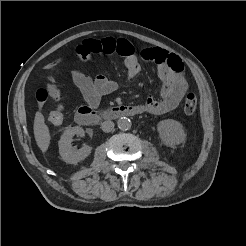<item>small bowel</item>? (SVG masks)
I'll use <instances>...</instances> for the list:
<instances>
[{
  "label": "small bowel",
  "mask_w": 246,
  "mask_h": 246,
  "mask_svg": "<svg viewBox=\"0 0 246 246\" xmlns=\"http://www.w3.org/2000/svg\"><path fill=\"white\" fill-rule=\"evenodd\" d=\"M80 49L88 51L90 55L116 54L124 57L129 79L136 77L141 70L133 45L125 39L86 40L76 49V57ZM141 57L156 64L158 76L163 84L159 98L148 97L144 104L139 105L143 110L142 113L162 115L174 110L187 91L182 60L175 54L160 48L144 49L141 52ZM72 80L81 92L87 107L91 109L100 104L103 96L117 89V83L108 77L97 75L92 79L79 69L72 71Z\"/></svg>",
  "instance_id": "c3829d8e"
}]
</instances>
